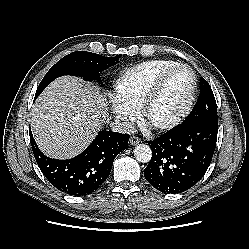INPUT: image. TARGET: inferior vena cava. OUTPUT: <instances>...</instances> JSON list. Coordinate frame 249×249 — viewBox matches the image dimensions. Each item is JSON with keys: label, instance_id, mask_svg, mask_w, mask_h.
<instances>
[{"label": "inferior vena cava", "instance_id": "602c4592", "mask_svg": "<svg viewBox=\"0 0 249 249\" xmlns=\"http://www.w3.org/2000/svg\"><path fill=\"white\" fill-rule=\"evenodd\" d=\"M110 127L113 131L118 133L132 134L135 130L134 125L131 122L119 119L111 121Z\"/></svg>", "mask_w": 249, "mask_h": 249}]
</instances>
